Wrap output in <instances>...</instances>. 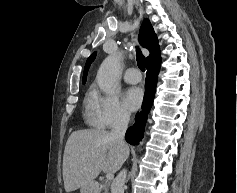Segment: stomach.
Returning a JSON list of instances; mask_svg holds the SVG:
<instances>
[{"instance_id":"obj_1","label":"stomach","mask_w":237,"mask_h":193,"mask_svg":"<svg viewBox=\"0 0 237 193\" xmlns=\"http://www.w3.org/2000/svg\"><path fill=\"white\" fill-rule=\"evenodd\" d=\"M80 193H98L97 185L94 182H91L80 189Z\"/></svg>"}]
</instances>
